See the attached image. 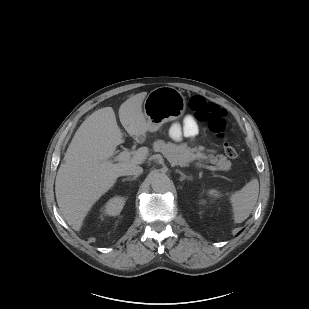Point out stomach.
<instances>
[{
	"instance_id": "0dacf381",
	"label": "stomach",
	"mask_w": 309,
	"mask_h": 309,
	"mask_svg": "<svg viewBox=\"0 0 309 309\" xmlns=\"http://www.w3.org/2000/svg\"><path fill=\"white\" fill-rule=\"evenodd\" d=\"M186 101L182 93L174 87L163 86L152 90L144 101V115L149 124V131H157L165 122L179 119L185 112ZM191 153L199 154L201 148H188ZM202 153L199 156L190 155V160L206 159Z\"/></svg>"
}]
</instances>
